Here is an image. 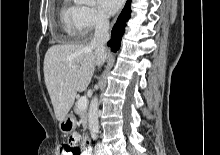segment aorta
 I'll use <instances>...</instances> for the list:
<instances>
[{
    "label": "aorta",
    "instance_id": "1",
    "mask_svg": "<svg viewBox=\"0 0 220 155\" xmlns=\"http://www.w3.org/2000/svg\"><path fill=\"white\" fill-rule=\"evenodd\" d=\"M81 3L92 5L95 3V0H80ZM98 98L95 96L90 103L89 107V129L92 133H97L99 130L98 122Z\"/></svg>",
    "mask_w": 220,
    "mask_h": 155
}]
</instances>
